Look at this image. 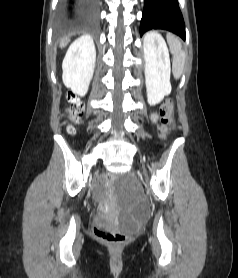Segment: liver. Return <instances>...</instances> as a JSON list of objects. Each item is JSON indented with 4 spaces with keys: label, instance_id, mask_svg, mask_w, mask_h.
I'll use <instances>...</instances> for the list:
<instances>
[{
    "label": "liver",
    "instance_id": "1",
    "mask_svg": "<svg viewBox=\"0 0 238 278\" xmlns=\"http://www.w3.org/2000/svg\"><path fill=\"white\" fill-rule=\"evenodd\" d=\"M69 41H70V40H69L68 38L62 40V41L60 42V47H61V48L65 47V46L69 43Z\"/></svg>",
    "mask_w": 238,
    "mask_h": 278
}]
</instances>
